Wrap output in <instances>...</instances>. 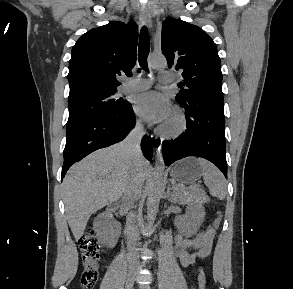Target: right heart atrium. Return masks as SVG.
<instances>
[{
  "label": "right heart atrium",
  "instance_id": "d8ad5b80",
  "mask_svg": "<svg viewBox=\"0 0 293 289\" xmlns=\"http://www.w3.org/2000/svg\"><path fill=\"white\" fill-rule=\"evenodd\" d=\"M135 126H136L137 128H141V127H142V123H141V121H140V120H136V122H135Z\"/></svg>",
  "mask_w": 293,
  "mask_h": 289
}]
</instances>
